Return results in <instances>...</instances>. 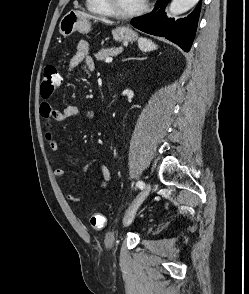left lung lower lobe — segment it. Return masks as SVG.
<instances>
[{
  "mask_svg": "<svg viewBox=\"0 0 249 294\" xmlns=\"http://www.w3.org/2000/svg\"><path fill=\"white\" fill-rule=\"evenodd\" d=\"M169 2L170 0H158L150 14L134 18L131 23L146 33L169 39L188 52L195 37L201 2L188 17L177 21L166 17L164 8Z\"/></svg>",
  "mask_w": 249,
  "mask_h": 294,
  "instance_id": "obj_1",
  "label": "left lung lower lobe"
}]
</instances>
